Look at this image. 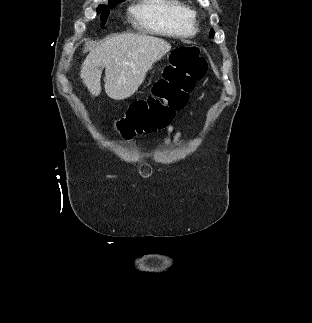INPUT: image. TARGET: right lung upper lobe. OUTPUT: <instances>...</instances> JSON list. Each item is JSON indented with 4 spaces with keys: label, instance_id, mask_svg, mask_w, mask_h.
<instances>
[{
    "label": "right lung upper lobe",
    "instance_id": "1",
    "mask_svg": "<svg viewBox=\"0 0 312 323\" xmlns=\"http://www.w3.org/2000/svg\"><path fill=\"white\" fill-rule=\"evenodd\" d=\"M120 2H122V0H109V4H110V3L118 4V3H120Z\"/></svg>",
    "mask_w": 312,
    "mask_h": 323
}]
</instances>
